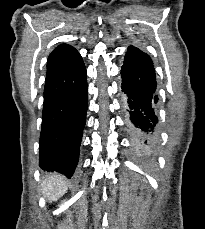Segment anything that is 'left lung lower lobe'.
<instances>
[{"label":"left lung lower lobe","instance_id":"1","mask_svg":"<svg viewBox=\"0 0 205 229\" xmlns=\"http://www.w3.org/2000/svg\"><path fill=\"white\" fill-rule=\"evenodd\" d=\"M121 100L126 128L134 149L152 156L158 141L156 76L148 54L129 46L121 68Z\"/></svg>","mask_w":205,"mask_h":229}]
</instances>
